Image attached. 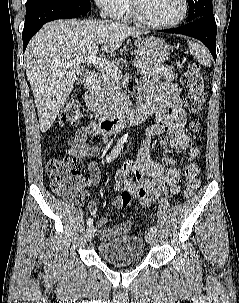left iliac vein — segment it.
Segmentation results:
<instances>
[{"label": "left iliac vein", "mask_w": 239, "mask_h": 303, "mask_svg": "<svg viewBox=\"0 0 239 303\" xmlns=\"http://www.w3.org/2000/svg\"><path fill=\"white\" fill-rule=\"evenodd\" d=\"M146 240H147V242H148L151 246L156 245V243H157V235H156V233H155V232H152V231L148 232V233L146 234Z\"/></svg>", "instance_id": "left-iliac-vein-1"}]
</instances>
